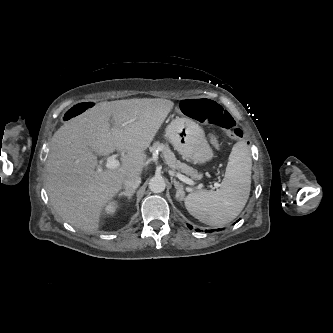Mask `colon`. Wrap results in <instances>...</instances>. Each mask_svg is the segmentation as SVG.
Segmentation results:
<instances>
[{
    "mask_svg": "<svg viewBox=\"0 0 333 333\" xmlns=\"http://www.w3.org/2000/svg\"><path fill=\"white\" fill-rule=\"evenodd\" d=\"M95 102H83L72 106L64 114V120L70 121L77 115L83 113L86 109H95ZM182 111L200 122L212 127H218L226 130L227 135L235 140L242 141L246 134L234 121L231 115L226 112L215 101L209 99H187L181 104Z\"/></svg>",
    "mask_w": 333,
    "mask_h": 333,
    "instance_id": "obj_1",
    "label": "colon"
}]
</instances>
